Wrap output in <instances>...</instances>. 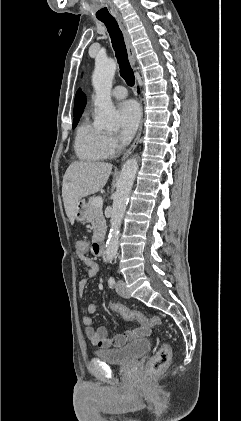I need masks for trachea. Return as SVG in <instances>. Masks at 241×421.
<instances>
[{
	"label": "trachea",
	"instance_id": "3493384b",
	"mask_svg": "<svg viewBox=\"0 0 241 421\" xmlns=\"http://www.w3.org/2000/svg\"><path fill=\"white\" fill-rule=\"evenodd\" d=\"M101 21L105 24L109 32L112 46L119 64L120 75L129 86H133L135 83V77L128 60L123 34L114 18L101 19Z\"/></svg>",
	"mask_w": 241,
	"mask_h": 421
}]
</instances>
